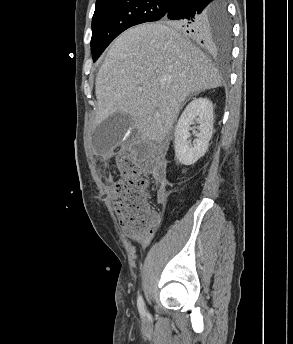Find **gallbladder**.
I'll return each mask as SVG.
<instances>
[{"mask_svg":"<svg viewBox=\"0 0 293 344\" xmlns=\"http://www.w3.org/2000/svg\"><path fill=\"white\" fill-rule=\"evenodd\" d=\"M133 124L130 115L114 113L103 120L93 131L92 144L99 154H106L118 145Z\"/></svg>","mask_w":293,"mask_h":344,"instance_id":"obj_1","label":"gallbladder"}]
</instances>
